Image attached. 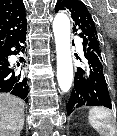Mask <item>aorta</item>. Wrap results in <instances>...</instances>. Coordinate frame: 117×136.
<instances>
[{
    "instance_id": "obj_1",
    "label": "aorta",
    "mask_w": 117,
    "mask_h": 136,
    "mask_svg": "<svg viewBox=\"0 0 117 136\" xmlns=\"http://www.w3.org/2000/svg\"><path fill=\"white\" fill-rule=\"evenodd\" d=\"M53 32L57 54V80L60 89L66 93L73 81V64L70 48V19L65 13L56 14Z\"/></svg>"
}]
</instances>
